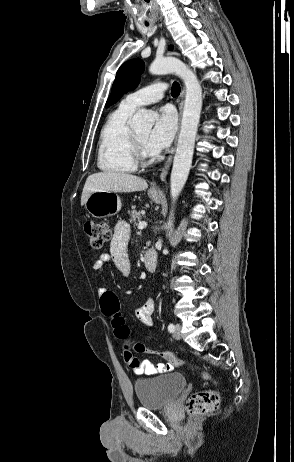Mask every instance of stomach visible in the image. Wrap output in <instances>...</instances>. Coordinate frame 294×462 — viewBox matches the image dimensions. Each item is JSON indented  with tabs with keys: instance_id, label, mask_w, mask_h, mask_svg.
Returning a JSON list of instances; mask_svg holds the SVG:
<instances>
[{
	"instance_id": "1",
	"label": "stomach",
	"mask_w": 294,
	"mask_h": 462,
	"mask_svg": "<svg viewBox=\"0 0 294 462\" xmlns=\"http://www.w3.org/2000/svg\"><path fill=\"white\" fill-rule=\"evenodd\" d=\"M148 195L156 203H160L161 196L158 193L149 190ZM85 208L95 218L113 216L120 211L121 200L115 192H92L85 202Z\"/></svg>"
}]
</instances>
